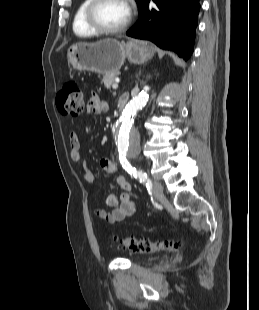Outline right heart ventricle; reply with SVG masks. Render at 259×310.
<instances>
[{
    "label": "right heart ventricle",
    "instance_id": "e07e8e85",
    "mask_svg": "<svg viewBox=\"0 0 259 310\" xmlns=\"http://www.w3.org/2000/svg\"><path fill=\"white\" fill-rule=\"evenodd\" d=\"M90 0H81L76 8L72 29L75 35L81 38H87L93 36L95 33L87 26L85 22V10Z\"/></svg>",
    "mask_w": 259,
    "mask_h": 310
}]
</instances>
